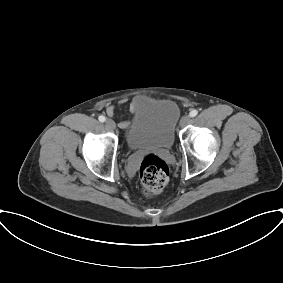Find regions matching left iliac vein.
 Masks as SVG:
<instances>
[{
	"instance_id": "left-iliac-vein-1",
	"label": "left iliac vein",
	"mask_w": 283,
	"mask_h": 283,
	"mask_svg": "<svg viewBox=\"0 0 283 283\" xmlns=\"http://www.w3.org/2000/svg\"><path fill=\"white\" fill-rule=\"evenodd\" d=\"M190 122V116L189 115H185L182 117L181 121H180V125L183 127L185 125H187Z\"/></svg>"
}]
</instances>
